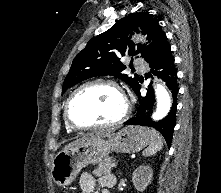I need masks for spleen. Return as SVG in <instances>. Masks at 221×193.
<instances>
[{
    "instance_id": "obj_1",
    "label": "spleen",
    "mask_w": 221,
    "mask_h": 193,
    "mask_svg": "<svg viewBox=\"0 0 221 193\" xmlns=\"http://www.w3.org/2000/svg\"><path fill=\"white\" fill-rule=\"evenodd\" d=\"M163 148V140L160 134L156 130H151V137H150V145L145 151L143 155L146 157L155 155L158 151Z\"/></svg>"
}]
</instances>
